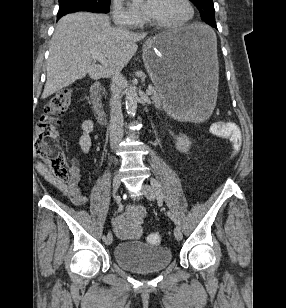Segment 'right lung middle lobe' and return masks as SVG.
<instances>
[{"label":"right lung middle lobe","instance_id":"right-lung-middle-lobe-1","mask_svg":"<svg viewBox=\"0 0 286 308\" xmlns=\"http://www.w3.org/2000/svg\"><path fill=\"white\" fill-rule=\"evenodd\" d=\"M73 10H97L107 13L110 0H59V12Z\"/></svg>","mask_w":286,"mask_h":308}]
</instances>
